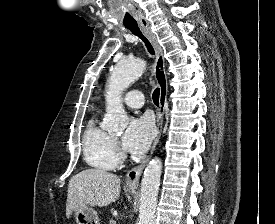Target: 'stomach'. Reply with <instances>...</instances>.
<instances>
[{"mask_svg": "<svg viewBox=\"0 0 275 224\" xmlns=\"http://www.w3.org/2000/svg\"><path fill=\"white\" fill-rule=\"evenodd\" d=\"M129 190L134 192L132 189ZM74 218L77 224H100L97 211L90 206L75 209Z\"/></svg>", "mask_w": 275, "mask_h": 224, "instance_id": "1", "label": "stomach"}]
</instances>
